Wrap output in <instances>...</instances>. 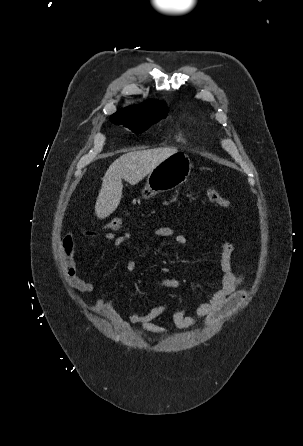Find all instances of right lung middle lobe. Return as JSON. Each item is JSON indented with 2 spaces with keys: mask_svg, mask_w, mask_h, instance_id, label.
<instances>
[{
  "mask_svg": "<svg viewBox=\"0 0 303 446\" xmlns=\"http://www.w3.org/2000/svg\"><path fill=\"white\" fill-rule=\"evenodd\" d=\"M168 109L158 108L153 112L144 115H122L113 114L110 118L115 124H123L133 132L139 134L147 130L151 125L158 122L161 118L166 117Z\"/></svg>",
  "mask_w": 303,
  "mask_h": 446,
  "instance_id": "dd1d6c3e",
  "label": "right lung middle lobe"
}]
</instances>
